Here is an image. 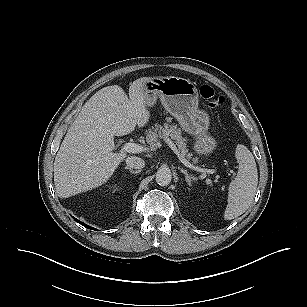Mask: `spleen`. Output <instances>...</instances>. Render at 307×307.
I'll use <instances>...</instances> for the list:
<instances>
[{"instance_id": "spleen-1", "label": "spleen", "mask_w": 307, "mask_h": 307, "mask_svg": "<svg viewBox=\"0 0 307 307\" xmlns=\"http://www.w3.org/2000/svg\"><path fill=\"white\" fill-rule=\"evenodd\" d=\"M236 158L239 164L238 174L229 185L225 220L242 215L250 207L258 184L256 162L250 150L244 145H237Z\"/></svg>"}]
</instances>
